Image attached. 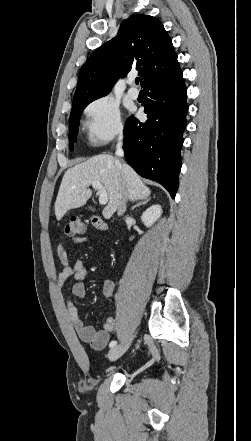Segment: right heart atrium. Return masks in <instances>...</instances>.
<instances>
[{
    "label": "right heart atrium",
    "instance_id": "1",
    "mask_svg": "<svg viewBox=\"0 0 251 441\" xmlns=\"http://www.w3.org/2000/svg\"><path fill=\"white\" fill-rule=\"evenodd\" d=\"M84 115V126L92 145L106 144L124 132L120 107L111 96L94 99L85 108Z\"/></svg>",
    "mask_w": 251,
    "mask_h": 441
}]
</instances>
